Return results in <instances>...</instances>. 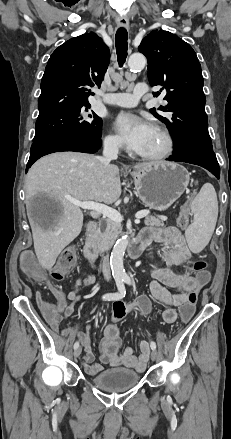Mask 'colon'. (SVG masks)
<instances>
[{"instance_id":"colon-1","label":"colon","mask_w":231,"mask_h":439,"mask_svg":"<svg viewBox=\"0 0 231 439\" xmlns=\"http://www.w3.org/2000/svg\"><path fill=\"white\" fill-rule=\"evenodd\" d=\"M189 215V208L188 206H185L177 219L179 227L186 228L188 226ZM76 258L77 252L73 246L65 248L52 268V278L56 281L62 280L75 266ZM20 264L22 270L32 278H42L41 269L32 252L23 251L20 255ZM193 270L196 272L195 278L199 283L197 284V287L190 288L185 300L180 304L178 315L182 323H191L195 315L197 301L199 300V292L211 282V273L207 270V262L205 260H197L193 264ZM39 303L43 310V320H52L56 318L55 304L48 303V300L45 297L40 298ZM126 314V304L121 301L115 302L113 305L112 318L120 321Z\"/></svg>"}]
</instances>
